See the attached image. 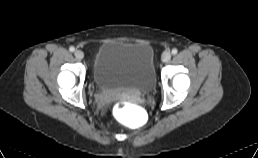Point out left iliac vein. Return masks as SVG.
Returning a JSON list of instances; mask_svg holds the SVG:
<instances>
[{
	"instance_id": "obj_1",
	"label": "left iliac vein",
	"mask_w": 258,
	"mask_h": 158,
	"mask_svg": "<svg viewBox=\"0 0 258 158\" xmlns=\"http://www.w3.org/2000/svg\"><path fill=\"white\" fill-rule=\"evenodd\" d=\"M170 59H171V53L168 52V51L164 52L163 55H162V61L166 63Z\"/></svg>"
}]
</instances>
